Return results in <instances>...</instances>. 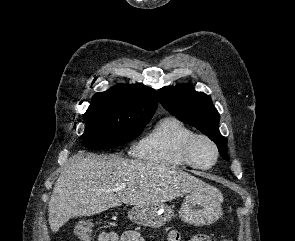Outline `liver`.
<instances>
[{"label":"liver","mask_w":295,"mask_h":241,"mask_svg":"<svg viewBox=\"0 0 295 241\" xmlns=\"http://www.w3.org/2000/svg\"><path fill=\"white\" fill-rule=\"evenodd\" d=\"M124 184V189L115 188ZM209 185L174 166L113 155L75 156L62 169L48 205L57 232L70 218L92 216L120 206L157 205Z\"/></svg>","instance_id":"obj_1"}]
</instances>
